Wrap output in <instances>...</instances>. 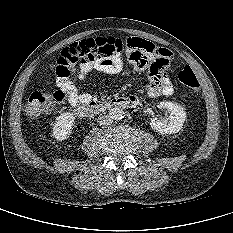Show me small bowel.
Instances as JSON below:
<instances>
[{
  "label": "small bowel",
  "mask_w": 233,
  "mask_h": 233,
  "mask_svg": "<svg viewBox=\"0 0 233 233\" xmlns=\"http://www.w3.org/2000/svg\"><path fill=\"white\" fill-rule=\"evenodd\" d=\"M143 50V51H142ZM172 52L163 47H156L151 42L130 38L125 43V60L135 73L146 72L150 75L151 84L148 88L150 97L170 96L174 88L166 70L172 60ZM124 67L123 58L116 56L109 62H94L81 65L77 80L85 82L93 71L108 76H114L121 72ZM57 86L65 95L67 103L76 112L77 107L91 100L88 93L80 92L71 79V71L67 75L57 73Z\"/></svg>",
  "instance_id": "obj_1"
}]
</instances>
